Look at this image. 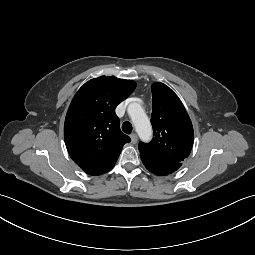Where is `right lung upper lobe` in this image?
Wrapping results in <instances>:
<instances>
[{
    "instance_id": "obj_1",
    "label": "right lung upper lobe",
    "mask_w": 255,
    "mask_h": 255,
    "mask_svg": "<svg viewBox=\"0 0 255 255\" xmlns=\"http://www.w3.org/2000/svg\"><path fill=\"white\" fill-rule=\"evenodd\" d=\"M135 87L132 80L101 76L86 82L74 96L64 139L70 157L87 174L111 170L124 144L131 141L120 130L115 108Z\"/></svg>"
}]
</instances>
